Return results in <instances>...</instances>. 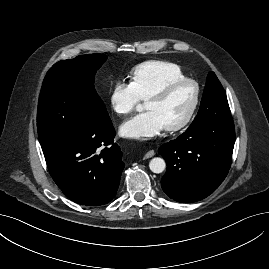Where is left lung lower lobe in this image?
Segmentation results:
<instances>
[{
    "label": "left lung lower lobe",
    "instance_id": "1",
    "mask_svg": "<svg viewBox=\"0 0 269 269\" xmlns=\"http://www.w3.org/2000/svg\"><path fill=\"white\" fill-rule=\"evenodd\" d=\"M234 143L231 116L191 124L177 139L158 149L167 164L161 180L163 191L182 203L209 196L228 174Z\"/></svg>",
    "mask_w": 269,
    "mask_h": 269
}]
</instances>
